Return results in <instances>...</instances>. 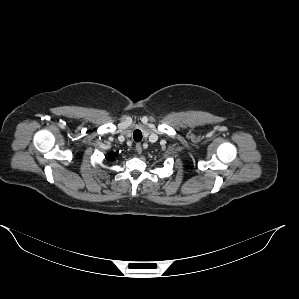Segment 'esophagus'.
I'll return each instance as SVG.
<instances>
[{
    "label": "esophagus",
    "instance_id": "obj_1",
    "mask_svg": "<svg viewBox=\"0 0 299 299\" xmlns=\"http://www.w3.org/2000/svg\"><path fill=\"white\" fill-rule=\"evenodd\" d=\"M136 149V152L138 153V154H141L142 153V146H141V144L140 143H138V144H136V147H135Z\"/></svg>",
    "mask_w": 299,
    "mask_h": 299
}]
</instances>
